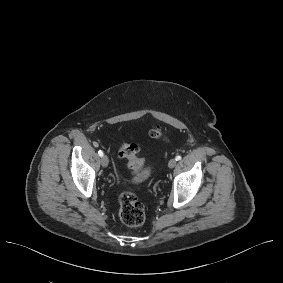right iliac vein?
Returning a JSON list of instances; mask_svg holds the SVG:
<instances>
[{"instance_id":"63e3f726","label":"right iliac vein","mask_w":283,"mask_h":283,"mask_svg":"<svg viewBox=\"0 0 283 283\" xmlns=\"http://www.w3.org/2000/svg\"><path fill=\"white\" fill-rule=\"evenodd\" d=\"M101 164L103 167H107L108 166V157L106 155H103L101 157Z\"/></svg>"}]
</instances>
